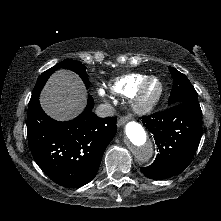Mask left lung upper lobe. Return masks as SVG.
I'll use <instances>...</instances> for the list:
<instances>
[{
    "label": "left lung upper lobe",
    "instance_id": "1",
    "mask_svg": "<svg viewBox=\"0 0 221 221\" xmlns=\"http://www.w3.org/2000/svg\"><path fill=\"white\" fill-rule=\"evenodd\" d=\"M169 70L173 77V87L168 100V105L173 106L183 103L201 109L198 102V94L188 78L173 67L169 66Z\"/></svg>",
    "mask_w": 221,
    "mask_h": 221
}]
</instances>
